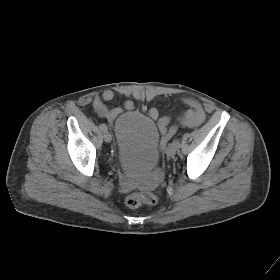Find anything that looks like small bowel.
I'll return each mask as SVG.
<instances>
[{"label": "small bowel", "mask_w": 280, "mask_h": 280, "mask_svg": "<svg viewBox=\"0 0 280 280\" xmlns=\"http://www.w3.org/2000/svg\"><path fill=\"white\" fill-rule=\"evenodd\" d=\"M114 98V92L112 90H106L101 95L96 96L93 100V109L97 115L112 122L123 110H131L134 104L131 100H127L123 103L122 107L111 108L107 105V102ZM188 106V109L178 117V122L183 126L194 128L200 126L206 119V113L201 104L192 98L185 97L182 99ZM151 118L156 120L157 125L162 133L161 145L164 147L172 135L176 131V126L171 124V118L168 116L161 117L156 108H151L148 111Z\"/></svg>", "instance_id": "small-bowel-1"}]
</instances>
